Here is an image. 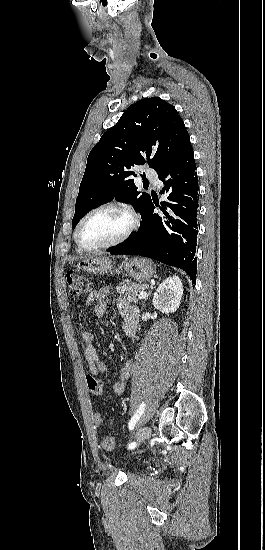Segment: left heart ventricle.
<instances>
[{
    "label": "left heart ventricle",
    "instance_id": "b2bd125f",
    "mask_svg": "<svg viewBox=\"0 0 265 550\" xmlns=\"http://www.w3.org/2000/svg\"><path fill=\"white\" fill-rule=\"evenodd\" d=\"M129 224L130 219L124 213L113 209L101 210L86 219L79 239L85 246L105 244L120 237Z\"/></svg>",
    "mask_w": 265,
    "mask_h": 550
}]
</instances>
